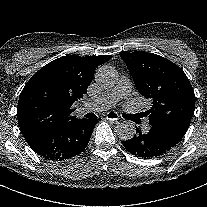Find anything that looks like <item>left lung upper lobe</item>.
Masks as SVG:
<instances>
[{"label":"left lung upper lobe","instance_id":"obj_1","mask_svg":"<svg viewBox=\"0 0 207 207\" xmlns=\"http://www.w3.org/2000/svg\"><path fill=\"white\" fill-rule=\"evenodd\" d=\"M137 90L151 101V127L179 142L190 125L195 94L184 71L170 60L144 51L121 52Z\"/></svg>","mask_w":207,"mask_h":207}]
</instances>
